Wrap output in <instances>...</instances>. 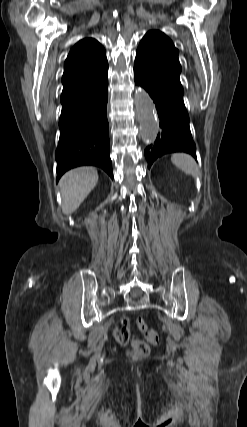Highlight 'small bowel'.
<instances>
[{"label":"small bowel","instance_id":"c3829d8e","mask_svg":"<svg viewBox=\"0 0 247 427\" xmlns=\"http://www.w3.org/2000/svg\"><path fill=\"white\" fill-rule=\"evenodd\" d=\"M115 339L119 343H126L130 338V321L128 318L124 317L121 319L120 328H116L113 331Z\"/></svg>","mask_w":247,"mask_h":427}]
</instances>
